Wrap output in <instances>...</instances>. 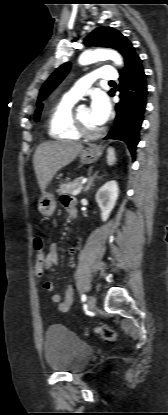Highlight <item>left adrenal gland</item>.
<instances>
[{
    "label": "left adrenal gland",
    "mask_w": 168,
    "mask_h": 415,
    "mask_svg": "<svg viewBox=\"0 0 168 415\" xmlns=\"http://www.w3.org/2000/svg\"><path fill=\"white\" fill-rule=\"evenodd\" d=\"M88 176H89V178H88L87 184L84 188V192H87L91 188V186H93V182L97 178V173H95L94 175H91V169H90L89 173H88Z\"/></svg>",
    "instance_id": "obj_1"
}]
</instances>
